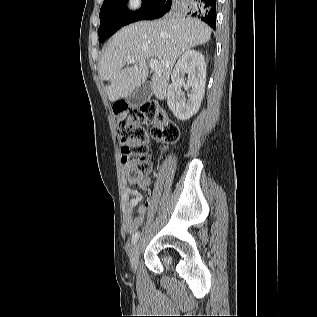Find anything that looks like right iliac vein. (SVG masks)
Returning <instances> with one entry per match:
<instances>
[{
  "mask_svg": "<svg viewBox=\"0 0 317 317\" xmlns=\"http://www.w3.org/2000/svg\"><path fill=\"white\" fill-rule=\"evenodd\" d=\"M139 256H140V244L136 243L133 246L131 255H130V265L134 272H136L137 270Z\"/></svg>",
  "mask_w": 317,
  "mask_h": 317,
  "instance_id": "right-iliac-vein-1",
  "label": "right iliac vein"
}]
</instances>
